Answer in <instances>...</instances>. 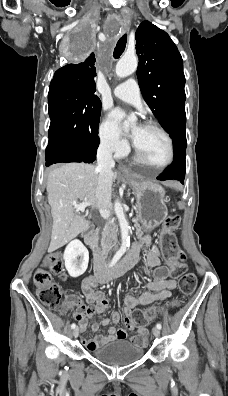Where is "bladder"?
Segmentation results:
<instances>
[{"mask_svg":"<svg viewBox=\"0 0 228 396\" xmlns=\"http://www.w3.org/2000/svg\"><path fill=\"white\" fill-rule=\"evenodd\" d=\"M92 357L109 366H125L140 360L145 349L128 340H114L89 350Z\"/></svg>","mask_w":228,"mask_h":396,"instance_id":"bladder-1","label":"bladder"}]
</instances>
